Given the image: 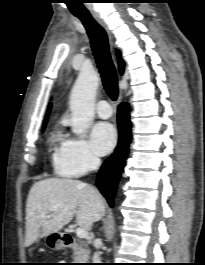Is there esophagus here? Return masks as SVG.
<instances>
[{
	"label": "esophagus",
	"instance_id": "1",
	"mask_svg": "<svg viewBox=\"0 0 205 265\" xmlns=\"http://www.w3.org/2000/svg\"><path fill=\"white\" fill-rule=\"evenodd\" d=\"M92 16H93V18L98 22V24H100V25L104 28V30L106 31V33H107V35H108V38H109V41H110L111 49H112V51H113V38H112L111 31L109 30V28H108L106 22H105V21L101 18V16H100L98 13H96V12H93V13H92ZM113 56H115V55H114V52H113ZM118 101H119V102L121 101V95L119 96V100H118Z\"/></svg>",
	"mask_w": 205,
	"mask_h": 265
}]
</instances>
